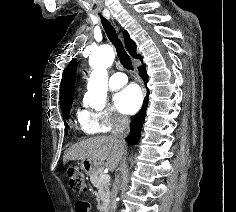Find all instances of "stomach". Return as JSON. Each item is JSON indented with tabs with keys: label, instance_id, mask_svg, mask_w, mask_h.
<instances>
[{
	"label": "stomach",
	"instance_id": "0dacf381",
	"mask_svg": "<svg viewBox=\"0 0 236 212\" xmlns=\"http://www.w3.org/2000/svg\"><path fill=\"white\" fill-rule=\"evenodd\" d=\"M98 165H96V163L94 161H90L88 159L83 160L81 162V168L84 170V172L87 175H91L93 173H95L98 169Z\"/></svg>",
	"mask_w": 236,
	"mask_h": 212
}]
</instances>
